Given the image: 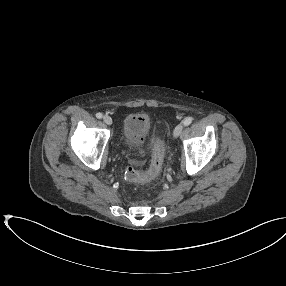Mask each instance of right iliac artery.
Segmentation results:
<instances>
[{
	"mask_svg": "<svg viewBox=\"0 0 286 286\" xmlns=\"http://www.w3.org/2000/svg\"><path fill=\"white\" fill-rule=\"evenodd\" d=\"M96 117H97L98 119H101V118L103 117V115H102V113L99 112V113L96 114Z\"/></svg>",
	"mask_w": 286,
	"mask_h": 286,
	"instance_id": "82829eb1",
	"label": "right iliac artery"
}]
</instances>
